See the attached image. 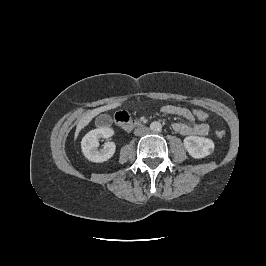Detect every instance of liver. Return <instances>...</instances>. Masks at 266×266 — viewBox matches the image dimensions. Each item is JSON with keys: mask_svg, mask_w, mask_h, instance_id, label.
<instances>
[{"mask_svg": "<svg viewBox=\"0 0 266 266\" xmlns=\"http://www.w3.org/2000/svg\"><path fill=\"white\" fill-rule=\"evenodd\" d=\"M121 106V103H112V104H108V105H105V106H101V107H98L96 109H93L89 112H87L85 115H83V117L79 120L78 124H77V127H76V131H75V136L74 138L76 139L79 135V132L85 127L87 126L90 121L95 117L97 116L98 114L102 113V112H105V111H108V110H111V109H114V108H117Z\"/></svg>", "mask_w": 266, "mask_h": 266, "instance_id": "obj_1", "label": "liver"}]
</instances>
